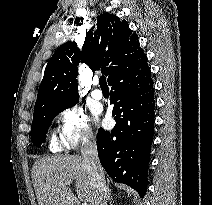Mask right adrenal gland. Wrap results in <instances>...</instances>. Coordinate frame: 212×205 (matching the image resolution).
<instances>
[{"instance_id":"2a0ac1e0","label":"right adrenal gland","mask_w":212,"mask_h":205,"mask_svg":"<svg viewBox=\"0 0 212 205\" xmlns=\"http://www.w3.org/2000/svg\"><path fill=\"white\" fill-rule=\"evenodd\" d=\"M111 199V194L109 192V188L107 187V201Z\"/></svg>"}]
</instances>
